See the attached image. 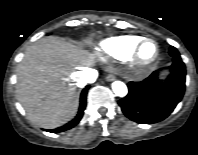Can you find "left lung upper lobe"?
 I'll return each instance as SVG.
<instances>
[{"mask_svg":"<svg viewBox=\"0 0 198 155\" xmlns=\"http://www.w3.org/2000/svg\"><path fill=\"white\" fill-rule=\"evenodd\" d=\"M169 52H170V55H171L173 58H178V57H180L178 51H177L176 48H174V47H171Z\"/></svg>","mask_w":198,"mask_h":155,"instance_id":"left-lung-upper-lobe-1","label":"left lung upper lobe"}]
</instances>
